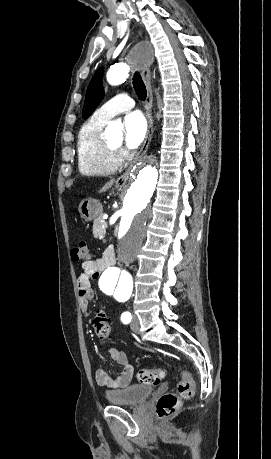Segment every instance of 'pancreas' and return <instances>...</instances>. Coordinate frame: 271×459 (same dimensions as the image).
Returning <instances> with one entry per match:
<instances>
[{"instance_id":"obj_1","label":"pancreas","mask_w":271,"mask_h":459,"mask_svg":"<svg viewBox=\"0 0 271 459\" xmlns=\"http://www.w3.org/2000/svg\"><path fill=\"white\" fill-rule=\"evenodd\" d=\"M105 224V221L103 219L96 220L93 228H94V234L97 239H102L105 234V229L103 228V225Z\"/></svg>"}]
</instances>
